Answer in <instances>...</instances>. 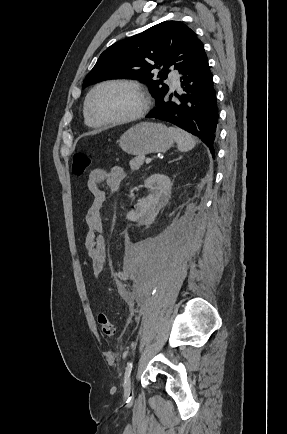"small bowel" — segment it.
Here are the masks:
<instances>
[{
	"label": "small bowel",
	"instance_id": "1",
	"mask_svg": "<svg viewBox=\"0 0 287 434\" xmlns=\"http://www.w3.org/2000/svg\"><path fill=\"white\" fill-rule=\"evenodd\" d=\"M124 176L123 169L114 166L108 170L95 168L88 177L87 186L93 200L85 213L87 232L84 247L87 255L86 265L96 274L103 270L106 262V246L102 237L104 226L101 212L107 193L101 185L105 183L111 192H116L120 188Z\"/></svg>",
	"mask_w": 287,
	"mask_h": 434
}]
</instances>
